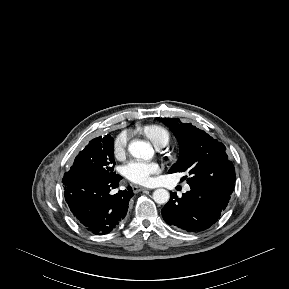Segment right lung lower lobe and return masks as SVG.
I'll use <instances>...</instances> for the list:
<instances>
[{
  "label": "right lung lower lobe",
  "mask_w": 289,
  "mask_h": 289,
  "mask_svg": "<svg viewBox=\"0 0 289 289\" xmlns=\"http://www.w3.org/2000/svg\"><path fill=\"white\" fill-rule=\"evenodd\" d=\"M122 179L115 172L106 177H89L77 171L63 178L65 200L74 217L88 231L102 235L111 232L126 216L131 187L112 195Z\"/></svg>",
  "instance_id": "obj_1"
}]
</instances>
